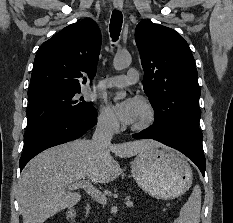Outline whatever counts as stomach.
Masks as SVG:
<instances>
[{"label": "stomach", "instance_id": "0dacf381", "mask_svg": "<svg viewBox=\"0 0 233 223\" xmlns=\"http://www.w3.org/2000/svg\"><path fill=\"white\" fill-rule=\"evenodd\" d=\"M131 173L137 185L157 199L179 197L193 179L185 157L165 145H152L140 151L131 161Z\"/></svg>", "mask_w": 233, "mask_h": 223}]
</instances>
